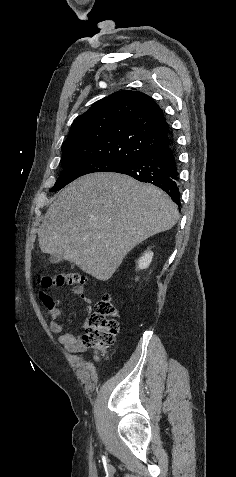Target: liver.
<instances>
[{
  "mask_svg": "<svg viewBox=\"0 0 236 477\" xmlns=\"http://www.w3.org/2000/svg\"><path fill=\"white\" fill-rule=\"evenodd\" d=\"M177 206L161 189L119 173H93L61 190L38 230L42 252L107 281L147 238L170 230Z\"/></svg>",
  "mask_w": 236,
  "mask_h": 477,
  "instance_id": "6515ba94",
  "label": "liver"
}]
</instances>
